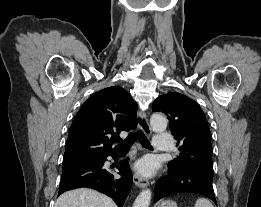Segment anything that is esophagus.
I'll list each match as a JSON object with an SVG mask.
<instances>
[{
	"instance_id": "obj_1",
	"label": "esophagus",
	"mask_w": 261,
	"mask_h": 207,
	"mask_svg": "<svg viewBox=\"0 0 261 207\" xmlns=\"http://www.w3.org/2000/svg\"><path fill=\"white\" fill-rule=\"evenodd\" d=\"M137 119H138V127L140 130H142L146 135L150 136L152 134L150 125L148 123V118L146 112L142 110H138L137 112ZM133 181L136 186L140 188H145L148 186L149 182L148 180L142 178L138 174H134Z\"/></svg>"
}]
</instances>
